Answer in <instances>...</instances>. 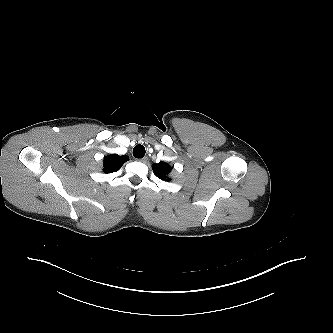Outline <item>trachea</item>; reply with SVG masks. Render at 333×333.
<instances>
[{"instance_id":"3493384b","label":"trachea","mask_w":333,"mask_h":333,"mask_svg":"<svg viewBox=\"0 0 333 333\" xmlns=\"http://www.w3.org/2000/svg\"><path fill=\"white\" fill-rule=\"evenodd\" d=\"M146 153L145 147L143 145H136L133 149V156L135 158H143Z\"/></svg>"}]
</instances>
